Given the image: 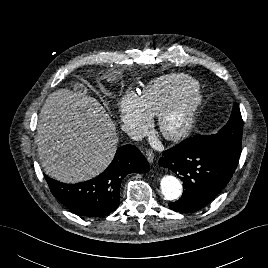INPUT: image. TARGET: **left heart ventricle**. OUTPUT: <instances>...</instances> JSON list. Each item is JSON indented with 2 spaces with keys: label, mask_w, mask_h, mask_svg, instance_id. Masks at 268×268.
I'll return each instance as SVG.
<instances>
[{
  "label": "left heart ventricle",
  "mask_w": 268,
  "mask_h": 268,
  "mask_svg": "<svg viewBox=\"0 0 268 268\" xmlns=\"http://www.w3.org/2000/svg\"><path fill=\"white\" fill-rule=\"evenodd\" d=\"M182 118L183 114L181 112H178L174 117L169 120L168 125L170 127L177 126L182 121Z\"/></svg>",
  "instance_id": "obj_1"
}]
</instances>
